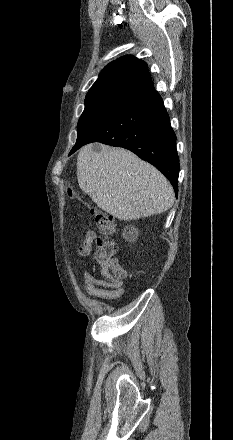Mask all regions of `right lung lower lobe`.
Instances as JSON below:
<instances>
[{"label":"right lung lower lobe","mask_w":233,"mask_h":440,"mask_svg":"<svg viewBox=\"0 0 233 440\" xmlns=\"http://www.w3.org/2000/svg\"><path fill=\"white\" fill-rule=\"evenodd\" d=\"M96 141L126 148L151 163L170 180L177 194L179 158L176 136L157 91L152 90L125 104L103 125L76 143L70 154Z\"/></svg>","instance_id":"obj_1"}]
</instances>
